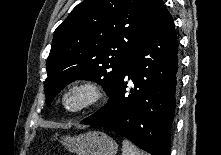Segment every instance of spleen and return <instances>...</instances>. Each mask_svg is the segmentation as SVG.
Masks as SVG:
<instances>
[{"instance_id":"3e777b00","label":"spleen","mask_w":221,"mask_h":155,"mask_svg":"<svg viewBox=\"0 0 221 155\" xmlns=\"http://www.w3.org/2000/svg\"><path fill=\"white\" fill-rule=\"evenodd\" d=\"M122 155H143V153L130 141L123 140Z\"/></svg>"}]
</instances>
